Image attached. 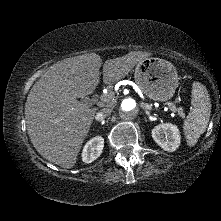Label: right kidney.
Returning <instances> with one entry per match:
<instances>
[{
    "mask_svg": "<svg viewBox=\"0 0 221 221\" xmlns=\"http://www.w3.org/2000/svg\"><path fill=\"white\" fill-rule=\"evenodd\" d=\"M104 147V139L96 136L90 139L84 146L82 151V160L84 163H91L96 160L102 153Z\"/></svg>",
    "mask_w": 221,
    "mask_h": 221,
    "instance_id": "right-kidney-1",
    "label": "right kidney"
}]
</instances>
